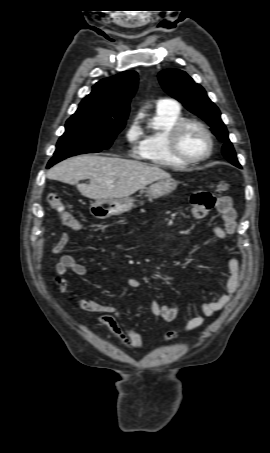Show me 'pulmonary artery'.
<instances>
[{"mask_svg":"<svg viewBox=\"0 0 270 453\" xmlns=\"http://www.w3.org/2000/svg\"><path fill=\"white\" fill-rule=\"evenodd\" d=\"M175 106H177V104L174 101H171L169 99H160L157 102V108H159V109L175 107Z\"/></svg>","mask_w":270,"mask_h":453,"instance_id":"e3ab8cb5","label":"pulmonary artery"}]
</instances>
